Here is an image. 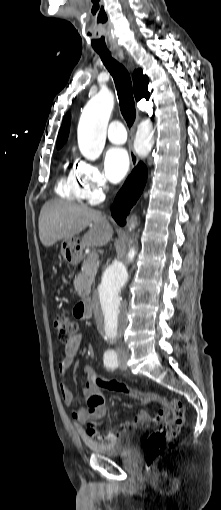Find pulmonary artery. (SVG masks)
Segmentation results:
<instances>
[{
  "label": "pulmonary artery",
  "mask_w": 221,
  "mask_h": 510,
  "mask_svg": "<svg viewBox=\"0 0 221 510\" xmlns=\"http://www.w3.org/2000/svg\"><path fill=\"white\" fill-rule=\"evenodd\" d=\"M108 139L114 144H123L127 139L124 125L120 121H113L108 129Z\"/></svg>",
  "instance_id": "obj_1"
}]
</instances>
